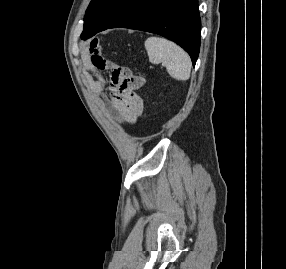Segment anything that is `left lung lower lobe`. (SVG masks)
<instances>
[{"label":"left lung lower lobe","mask_w":286,"mask_h":269,"mask_svg":"<svg viewBox=\"0 0 286 269\" xmlns=\"http://www.w3.org/2000/svg\"><path fill=\"white\" fill-rule=\"evenodd\" d=\"M109 28L136 29L166 37L185 49L195 66L201 30L198 0H143L103 30Z\"/></svg>","instance_id":"1"}]
</instances>
